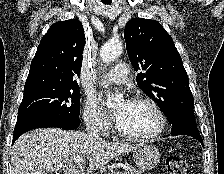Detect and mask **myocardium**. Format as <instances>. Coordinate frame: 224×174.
Here are the masks:
<instances>
[{
  "label": "myocardium",
  "mask_w": 224,
  "mask_h": 174,
  "mask_svg": "<svg viewBox=\"0 0 224 174\" xmlns=\"http://www.w3.org/2000/svg\"><path fill=\"white\" fill-rule=\"evenodd\" d=\"M128 103H132V104L144 103L149 105L154 110V112L156 113L158 117V126L156 130L150 134L133 135L123 131L117 123L116 131L120 137L130 141H150L159 137L163 133L166 127V116L156 101L146 96H135L129 99Z\"/></svg>",
  "instance_id": "myocardium-1"
}]
</instances>
